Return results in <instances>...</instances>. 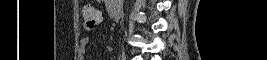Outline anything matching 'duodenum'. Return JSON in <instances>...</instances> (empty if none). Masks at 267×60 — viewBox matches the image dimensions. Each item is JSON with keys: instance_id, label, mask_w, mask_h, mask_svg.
Wrapping results in <instances>:
<instances>
[{"instance_id": "obj_1", "label": "duodenum", "mask_w": 267, "mask_h": 60, "mask_svg": "<svg viewBox=\"0 0 267 60\" xmlns=\"http://www.w3.org/2000/svg\"><path fill=\"white\" fill-rule=\"evenodd\" d=\"M121 1L119 0H110L108 1V10L110 16L113 18L119 17L121 6L119 5Z\"/></svg>"}]
</instances>
